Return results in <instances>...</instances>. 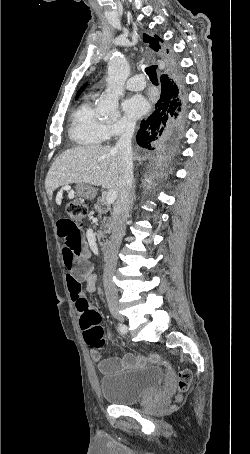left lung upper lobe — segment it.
<instances>
[{
  "label": "left lung upper lobe",
  "instance_id": "left-lung-upper-lobe-1",
  "mask_svg": "<svg viewBox=\"0 0 250 454\" xmlns=\"http://www.w3.org/2000/svg\"><path fill=\"white\" fill-rule=\"evenodd\" d=\"M84 87H85V86H84ZM82 90H83V89L81 88V89L78 91L77 96L82 92Z\"/></svg>",
  "mask_w": 250,
  "mask_h": 454
}]
</instances>
